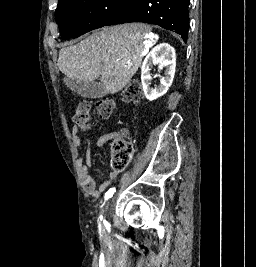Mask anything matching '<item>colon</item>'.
I'll return each mask as SVG.
<instances>
[{"instance_id":"colon-1","label":"colon","mask_w":256,"mask_h":267,"mask_svg":"<svg viewBox=\"0 0 256 267\" xmlns=\"http://www.w3.org/2000/svg\"><path fill=\"white\" fill-rule=\"evenodd\" d=\"M142 87L137 80H132L120 93V101L123 104H135L142 100ZM117 103L113 99H102L97 104V114L100 118L108 119L112 116ZM92 104L85 100L77 104L73 115V122L79 131L89 128ZM133 155V148L127 144H112L111 164L115 169H123L127 166Z\"/></svg>"}]
</instances>
